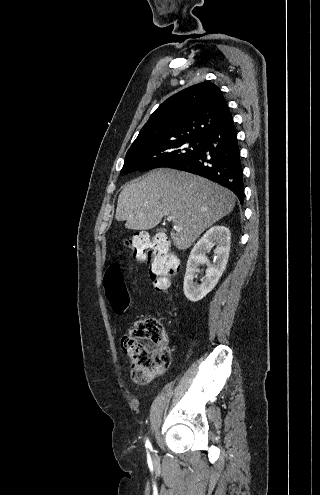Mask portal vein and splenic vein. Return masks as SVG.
<instances>
[{
    "mask_svg": "<svg viewBox=\"0 0 320 495\" xmlns=\"http://www.w3.org/2000/svg\"><path fill=\"white\" fill-rule=\"evenodd\" d=\"M167 220H168V221H171V220H172V216H168V217H167Z\"/></svg>",
    "mask_w": 320,
    "mask_h": 495,
    "instance_id": "18ae733b",
    "label": "portal vein and splenic vein"
}]
</instances>
